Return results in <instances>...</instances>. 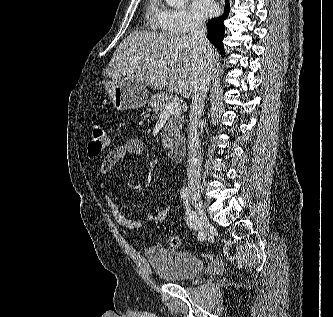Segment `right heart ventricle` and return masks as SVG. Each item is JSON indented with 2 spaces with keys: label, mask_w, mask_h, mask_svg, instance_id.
I'll list each match as a JSON object with an SVG mask.
<instances>
[{
  "label": "right heart ventricle",
  "mask_w": 333,
  "mask_h": 317,
  "mask_svg": "<svg viewBox=\"0 0 333 317\" xmlns=\"http://www.w3.org/2000/svg\"><path fill=\"white\" fill-rule=\"evenodd\" d=\"M161 10L162 8L158 0H149L146 10V18L152 30H157L161 28L159 24Z\"/></svg>",
  "instance_id": "e07e8e85"
}]
</instances>
